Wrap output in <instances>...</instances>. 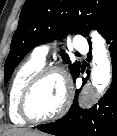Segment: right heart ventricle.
Returning a JSON list of instances; mask_svg holds the SVG:
<instances>
[{
  "mask_svg": "<svg viewBox=\"0 0 117 136\" xmlns=\"http://www.w3.org/2000/svg\"><path fill=\"white\" fill-rule=\"evenodd\" d=\"M44 66V62L31 57L16 71L9 88L8 112L12 122L24 124L25 120L18 113L21 93L31 77Z\"/></svg>",
  "mask_w": 117,
  "mask_h": 136,
  "instance_id": "1",
  "label": "right heart ventricle"
}]
</instances>
